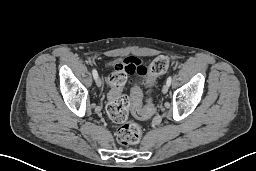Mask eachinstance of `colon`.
I'll return each instance as SVG.
<instances>
[{
    "instance_id": "5ec220e1",
    "label": "colon",
    "mask_w": 256,
    "mask_h": 171,
    "mask_svg": "<svg viewBox=\"0 0 256 171\" xmlns=\"http://www.w3.org/2000/svg\"><path fill=\"white\" fill-rule=\"evenodd\" d=\"M169 67V60L165 56L155 58L149 68L151 79L164 74ZM126 76L122 70H115L109 77L111 91L108 95L106 112L108 117L115 123L120 124L116 131L117 141L121 145H132L139 142L142 129L135 123L128 121L129 113H134L137 117L142 118L152 113L153 100L147 98L146 108L142 107V92L138 86L131 90V98L122 94V88L125 84Z\"/></svg>"
}]
</instances>
